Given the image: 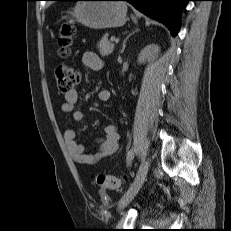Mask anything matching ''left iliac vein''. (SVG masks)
Segmentation results:
<instances>
[{
  "label": "left iliac vein",
  "mask_w": 231,
  "mask_h": 231,
  "mask_svg": "<svg viewBox=\"0 0 231 231\" xmlns=\"http://www.w3.org/2000/svg\"><path fill=\"white\" fill-rule=\"evenodd\" d=\"M149 167V159H145L144 161H142L132 185L130 186L126 194L122 197L119 203V210L124 209L129 204V202L136 196L146 179Z\"/></svg>",
  "instance_id": "4c4485c4"
}]
</instances>
